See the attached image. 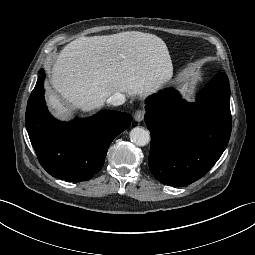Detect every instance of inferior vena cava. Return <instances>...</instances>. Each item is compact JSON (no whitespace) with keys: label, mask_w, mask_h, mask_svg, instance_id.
<instances>
[{"label":"inferior vena cava","mask_w":255,"mask_h":255,"mask_svg":"<svg viewBox=\"0 0 255 255\" xmlns=\"http://www.w3.org/2000/svg\"><path fill=\"white\" fill-rule=\"evenodd\" d=\"M125 102V95L116 92L107 99V103L113 106L122 105Z\"/></svg>","instance_id":"1"}]
</instances>
